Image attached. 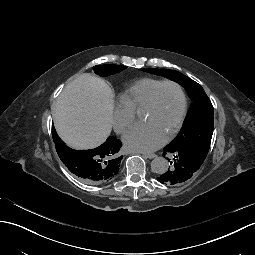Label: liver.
<instances>
[{
  "instance_id": "liver-1",
  "label": "liver",
  "mask_w": 255,
  "mask_h": 255,
  "mask_svg": "<svg viewBox=\"0 0 255 255\" xmlns=\"http://www.w3.org/2000/svg\"><path fill=\"white\" fill-rule=\"evenodd\" d=\"M114 95L100 78L80 75L65 86L54 108L61 138L76 149H90L105 142L112 129Z\"/></svg>"
}]
</instances>
